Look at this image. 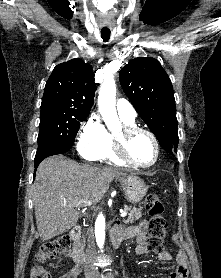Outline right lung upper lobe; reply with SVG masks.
I'll return each mask as SVG.
<instances>
[{
	"mask_svg": "<svg viewBox=\"0 0 221 278\" xmlns=\"http://www.w3.org/2000/svg\"><path fill=\"white\" fill-rule=\"evenodd\" d=\"M95 90L90 64L79 58L58 64L46 82L41 111L89 114Z\"/></svg>",
	"mask_w": 221,
	"mask_h": 278,
	"instance_id": "obj_1",
	"label": "right lung upper lobe"
}]
</instances>
